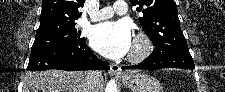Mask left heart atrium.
Returning <instances> with one entry per match:
<instances>
[{"instance_id":"1","label":"left heart atrium","mask_w":225,"mask_h":92,"mask_svg":"<svg viewBox=\"0 0 225 92\" xmlns=\"http://www.w3.org/2000/svg\"><path fill=\"white\" fill-rule=\"evenodd\" d=\"M90 43L105 57L121 58L132 48L131 27L124 20L101 23L92 29Z\"/></svg>"}]
</instances>
